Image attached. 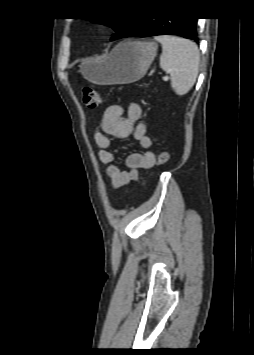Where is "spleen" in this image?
<instances>
[{
	"label": "spleen",
	"mask_w": 254,
	"mask_h": 355,
	"mask_svg": "<svg viewBox=\"0 0 254 355\" xmlns=\"http://www.w3.org/2000/svg\"><path fill=\"white\" fill-rule=\"evenodd\" d=\"M162 45L160 67L169 72L171 87L177 95H185L196 82L199 71L200 52L197 45L176 36H155Z\"/></svg>",
	"instance_id": "3e777b00"
}]
</instances>
